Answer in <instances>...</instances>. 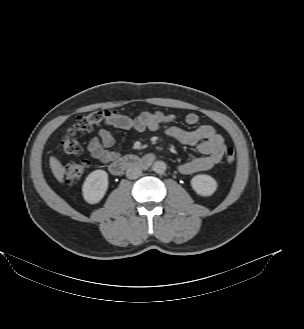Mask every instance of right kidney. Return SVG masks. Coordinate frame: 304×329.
I'll return each mask as SVG.
<instances>
[{
	"label": "right kidney",
	"instance_id": "right-kidney-1",
	"mask_svg": "<svg viewBox=\"0 0 304 329\" xmlns=\"http://www.w3.org/2000/svg\"><path fill=\"white\" fill-rule=\"evenodd\" d=\"M108 188V174L104 170H95L85 179L82 187L83 197L90 204L98 203Z\"/></svg>",
	"mask_w": 304,
	"mask_h": 329
}]
</instances>
